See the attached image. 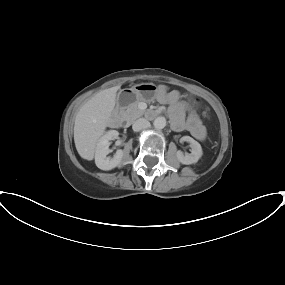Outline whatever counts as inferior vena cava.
I'll return each instance as SVG.
<instances>
[{
    "instance_id": "inferior-vena-cava-1",
    "label": "inferior vena cava",
    "mask_w": 285,
    "mask_h": 285,
    "mask_svg": "<svg viewBox=\"0 0 285 285\" xmlns=\"http://www.w3.org/2000/svg\"><path fill=\"white\" fill-rule=\"evenodd\" d=\"M148 127H150V122L144 118H140L136 120L132 125V129L135 132L146 129Z\"/></svg>"
}]
</instances>
